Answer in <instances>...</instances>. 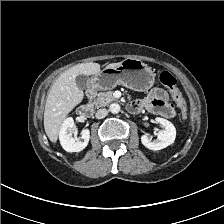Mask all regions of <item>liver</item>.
Returning <instances> with one entry per match:
<instances>
[{
    "label": "liver",
    "instance_id": "6515ba94",
    "mask_svg": "<svg viewBox=\"0 0 224 224\" xmlns=\"http://www.w3.org/2000/svg\"><path fill=\"white\" fill-rule=\"evenodd\" d=\"M120 63L107 66L116 67ZM99 71L98 63H81L69 68L56 79L48 93L44 110V129L51 142L56 143L62 122L83 100L84 94L76 85V76L95 75Z\"/></svg>",
    "mask_w": 224,
    "mask_h": 224
}]
</instances>
